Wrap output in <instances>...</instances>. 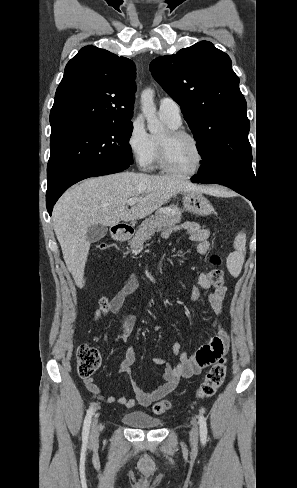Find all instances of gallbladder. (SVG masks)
Masks as SVG:
<instances>
[{"instance_id": "gallbladder-1", "label": "gallbladder", "mask_w": 297, "mask_h": 488, "mask_svg": "<svg viewBox=\"0 0 297 488\" xmlns=\"http://www.w3.org/2000/svg\"><path fill=\"white\" fill-rule=\"evenodd\" d=\"M108 228L102 224H94L88 227L87 240L89 242H97L101 240L107 234Z\"/></svg>"}]
</instances>
